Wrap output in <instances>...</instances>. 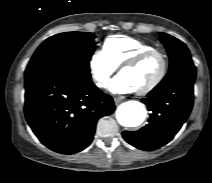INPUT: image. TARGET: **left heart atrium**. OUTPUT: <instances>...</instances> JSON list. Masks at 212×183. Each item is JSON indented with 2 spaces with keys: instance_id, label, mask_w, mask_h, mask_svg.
<instances>
[{
  "instance_id": "39dd6f15",
  "label": "left heart atrium",
  "mask_w": 212,
  "mask_h": 183,
  "mask_svg": "<svg viewBox=\"0 0 212 183\" xmlns=\"http://www.w3.org/2000/svg\"><path fill=\"white\" fill-rule=\"evenodd\" d=\"M110 91L115 94H128L134 92L135 88L123 75L120 74L111 82Z\"/></svg>"
}]
</instances>
